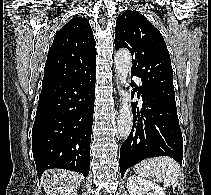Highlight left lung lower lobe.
I'll use <instances>...</instances> for the list:
<instances>
[{"mask_svg": "<svg viewBox=\"0 0 211 195\" xmlns=\"http://www.w3.org/2000/svg\"><path fill=\"white\" fill-rule=\"evenodd\" d=\"M135 87L137 98L142 97L143 103L140 111L137 102L132 105L133 127L120 149L122 177L129 167L149 157L169 156L180 165L183 158V138L176 103L143 85L141 89Z\"/></svg>", "mask_w": 211, "mask_h": 195, "instance_id": "left-lung-lower-lobe-1", "label": "left lung lower lobe"}]
</instances>
